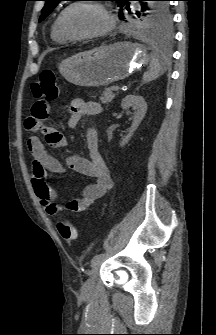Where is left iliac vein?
<instances>
[{
  "mask_svg": "<svg viewBox=\"0 0 216 335\" xmlns=\"http://www.w3.org/2000/svg\"><path fill=\"white\" fill-rule=\"evenodd\" d=\"M100 266H101V260L93 264L92 269L89 273V278L82 286L81 289L82 295L87 296L92 293L95 285V280L99 274Z\"/></svg>",
  "mask_w": 216,
  "mask_h": 335,
  "instance_id": "4c4485c4",
  "label": "left iliac vein"
}]
</instances>
